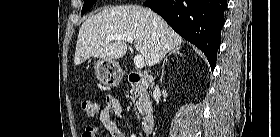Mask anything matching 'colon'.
I'll list each match as a JSON object with an SVG mask.
<instances>
[{
    "label": "colon",
    "instance_id": "5ec220e1",
    "mask_svg": "<svg viewBox=\"0 0 280 137\" xmlns=\"http://www.w3.org/2000/svg\"><path fill=\"white\" fill-rule=\"evenodd\" d=\"M81 109L89 117L96 116L98 111H99L98 104L95 101H92V100H82ZM83 136H84V133H83ZM87 136L91 137V135H89V134Z\"/></svg>",
    "mask_w": 280,
    "mask_h": 137
}]
</instances>
